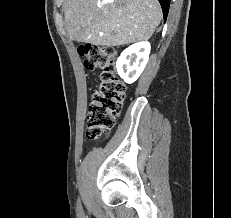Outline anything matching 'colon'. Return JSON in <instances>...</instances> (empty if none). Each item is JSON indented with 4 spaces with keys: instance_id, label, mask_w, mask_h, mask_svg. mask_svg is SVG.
Wrapping results in <instances>:
<instances>
[{
    "instance_id": "obj_1",
    "label": "colon",
    "mask_w": 231,
    "mask_h": 218,
    "mask_svg": "<svg viewBox=\"0 0 231 218\" xmlns=\"http://www.w3.org/2000/svg\"><path fill=\"white\" fill-rule=\"evenodd\" d=\"M79 54L88 70H101L100 82L94 88L87 112L86 135L97 140L115 125L125 98L126 87L115 70L116 50L91 44L79 47Z\"/></svg>"
}]
</instances>
